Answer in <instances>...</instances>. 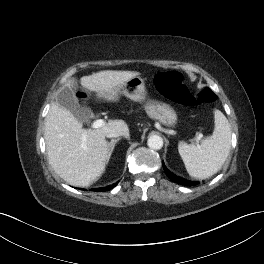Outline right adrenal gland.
I'll return each mask as SVG.
<instances>
[{
    "mask_svg": "<svg viewBox=\"0 0 264 264\" xmlns=\"http://www.w3.org/2000/svg\"><path fill=\"white\" fill-rule=\"evenodd\" d=\"M121 138H117V139H112L109 143H108V149H109V153L110 155L112 154L116 143L120 140Z\"/></svg>",
    "mask_w": 264,
    "mask_h": 264,
    "instance_id": "1",
    "label": "right adrenal gland"
}]
</instances>
